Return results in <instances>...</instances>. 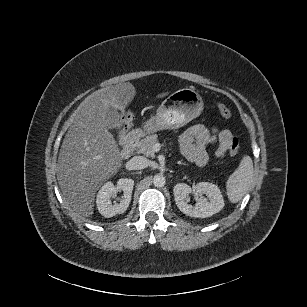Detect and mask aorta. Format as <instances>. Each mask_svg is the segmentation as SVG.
<instances>
[{
  "mask_svg": "<svg viewBox=\"0 0 307 307\" xmlns=\"http://www.w3.org/2000/svg\"><path fill=\"white\" fill-rule=\"evenodd\" d=\"M153 183H154V185L157 186V187H162V186H164L165 183H166V178H165V176L162 175V174H155V175L153 176Z\"/></svg>",
  "mask_w": 307,
  "mask_h": 307,
  "instance_id": "obj_1",
  "label": "aorta"
}]
</instances>
